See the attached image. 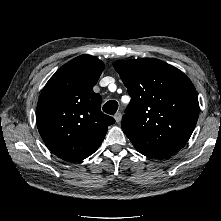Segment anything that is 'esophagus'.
<instances>
[{"instance_id": "1", "label": "esophagus", "mask_w": 221, "mask_h": 221, "mask_svg": "<svg viewBox=\"0 0 221 221\" xmlns=\"http://www.w3.org/2000/svg\"><path fill=\"white\" fill-rule=\"evenodd\" d=\"M121 118H122V114L120 112H118L114 115V119L117 123H119L121 121Z\"/></svg>"}]
</instances>
